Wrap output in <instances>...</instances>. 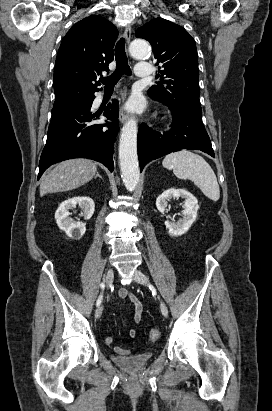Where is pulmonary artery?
<instances>
[{
	"mask_svg": "<svg viewBox=\"0 0 272 411\" xmlns=\"http://www.w3.org/2000/svg\"><path fill=\"white\" fill-rule=\"evenodd\" d=\"M151 70L148 63L140 62L136 67V75L140 78H148Z\"/></svg>",
	"mask_w": 272,
	"mask_h": 411,
	"instance_id": "1",
	"label": "pulmonary artery"
}]
</instances>
